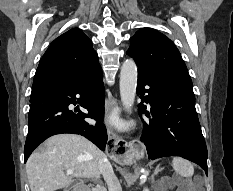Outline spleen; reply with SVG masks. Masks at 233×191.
I'll use <instances>...</instances> for the list:
<instances>
[{"label":"spleen","instance_id":"obj_1","mask_svg":"<svg viewBox=\"0 0 233 191\" xmlns=\"http://www.w3.org/2000/svg\"><path fill=\"white\" fill-rule=\"evenodd\" d=\"M172 167L175 172L184 178H191L194 173V168L191 162L180 157H174L172 160Z\"/></svg>","mask_w":233,"mask_h":191}]
</instances>
